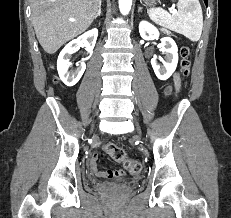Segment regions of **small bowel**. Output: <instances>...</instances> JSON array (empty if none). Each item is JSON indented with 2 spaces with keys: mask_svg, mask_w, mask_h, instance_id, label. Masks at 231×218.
<instances>
[{
  "mask_svg": "<svg viewBox=\"0 0 231 218\" xmlns=\"http://www.w3.org/2000/svg\"><path fill=\"white\" fill-rule=\"evenodd\" d=\"M180 88V77L179 74H175L173 76V83L172 85H167L164 88V94L170 95L174 94L176 95ZM98 154L96 152L92 153L89 159V167L92 171V173L98 177H107V178H115L120 177L124 174L123 169H109V170H100L98 167Z\"/></svg>",
  "mask_w": 231,
  "mask_h": 218,
  "instance_id": "obj_1",
  "label": "small bowel"
}]
</instances>
